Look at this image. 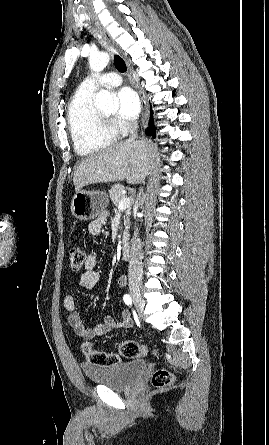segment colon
I'll use <instances>...</instances> for the list:
<instances>
[{
	"label": "colon",
	"mask_w": 269,
	"mask_h": 445,
	"mask_svg": "<svg viewBox=\"0 0 269 445\" xmlns=\"http://www.w3.org/2000/svg\"><path fill=\"white\" fill-rule=\"evenodd\" d=\"M68 257L70 267L73 271H79L83 268L86 257L80 248H71ZM81 351L89 363L100 367L114 366L121 361V357L134 359L144 356L147 353L146 347L134 340H124L120 342L118 345L119 354L95 350L89 343H84L81 346ZM172 381L173 375L166 369H157L151 377L152 385L157 388L166 387L170 385Z\"/></svg>",
	"instance_id": "5ec220e1"
}]
</instances>
